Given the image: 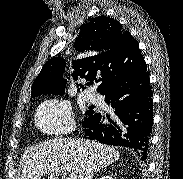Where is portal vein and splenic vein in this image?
<instances>
[{
    "mask_svg": "<svg viewBox=\"0 0 183 179\" xmlns=\"http://www.w3.org/2000/svg\"><path fill=\"white\" fill-rule=\"evenodd\" d=\"M66 179H71L70 177H67Z\"/></svg>",
    "mask_w": 183,
    "mask_h": 179,
    "instance_id": "obj_1",
    "label": "portal vein and splenic vein"
}]
</instances>
